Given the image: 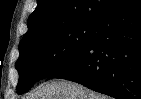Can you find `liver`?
Segmentation results:
<instances>
[{
	"label": "liver",
	"mask_w": 141,
	"mask_h": 99,
	"mask_svg": "<svg viewBox=\"0 0 141 99\" xmlns=\"http://www.w3.org/2000/svg\"><path fill=\"white\" fill-rule=\"evenodd\" d=\"M26 99H110L81 84L67 80H53L38 86Z\"/></svg>",
	"instance_id": "obj_1"
}]
</instances>
